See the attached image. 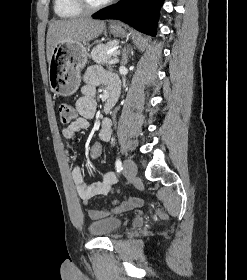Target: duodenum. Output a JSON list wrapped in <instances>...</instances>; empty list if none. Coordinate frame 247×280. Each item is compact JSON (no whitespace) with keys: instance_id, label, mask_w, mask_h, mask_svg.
<instances>
[{"instance_id":"1","label":"duodenum","mask_w":247,"mask_h":280,"mask_svg":"<svg viewBox=\"0 0 247 280\" xmlns=\"http://www.w3.org/2000/svg\"><path fill=\"white\" fill-rule=\"evenodd\" d=\"M107 100L105 103V110L108 112L110 111L113 106L115 105L117 98H118V89L117 88H110L107 92Z\"/></svg>"}]
</instances>
